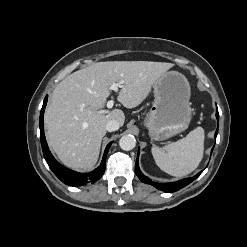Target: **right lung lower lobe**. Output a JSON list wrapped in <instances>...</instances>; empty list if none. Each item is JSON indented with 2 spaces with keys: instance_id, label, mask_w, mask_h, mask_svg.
I'll use <instances>...</instances> for the list:
<instances>
[{
  "instance_id": "right-lung-lower-lobe-1",
  "label": "right lung lower lobe",
  "mask_w": 247,
  "mask_h": 247,
  "mask_svg": "<svg viewBox=\"0 0 247 247\" xmlns=\"http://www.w3.org/2000/svg\"><path fill=\"white\" fill-rule=\"evenodd\" d=\"M47 100H48V96L45 97L44 102H43V106H42L41 113H40L39 127H40V140H41L42 150H43L44 158H45L48 166L54 172V174L63 183H65L67 185L80 186V185H86L88 183L96 182L104 174L106 156H107L108 150H109L112 142H110L107 145L101 164L99 165L98 168H96L92 172H90V173H78L76 171H72V170L64 167L63 165H61L60 163H58L54 159V157L52 156V154L48 148V145H47V142L45 139V135H44V111H45V107L47 104Z\"/></svg>"
}]
</instances>
